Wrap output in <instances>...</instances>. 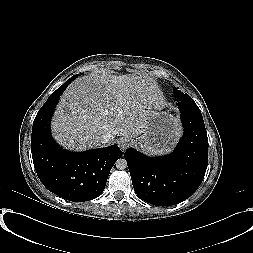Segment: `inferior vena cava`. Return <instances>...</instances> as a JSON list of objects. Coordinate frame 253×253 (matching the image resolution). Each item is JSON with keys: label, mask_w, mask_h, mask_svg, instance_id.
Segmentation results:
<instances>
[{"label": "inferior vena cava", "mask_w": 253, "mask_h": 253, "mask_svg": "<svg viewBox=\"0 0 253 253\" xmlns=\"http://www.w3.org/2000/svg\"><path fill=\"white\" fill-rule=\"evenodd\" d=\"M110 141V137L107 136V135H103L101 138H100V143L101 144H106Z\"/></svg>", "instance_id": "obj_1"}]
</instances>
